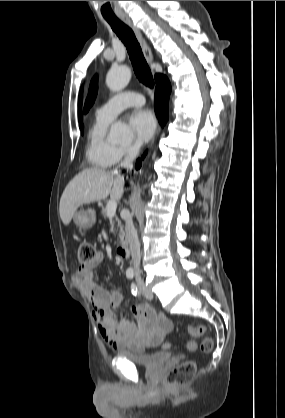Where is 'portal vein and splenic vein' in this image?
<instances>
[{"instance_id":"1","label":"portal vein and splenic vein","mask_w":285,"mask_h":418,"mask_svg":"<svg viewBox=\"0 0 285 418\" xmlns=\"http://www.w3.org/2000/svg\"><path fill=\"white\" fill-rule=\"evenodd\" d=\"M117 209V202L115 200H110L106 205L107 217L112 218Z\"/></svg>"}]
</instances>
